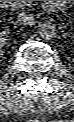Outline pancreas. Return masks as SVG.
<instances>
[{"instance_id": "pancreas-1", "label": "pancreas", "mask_w": 74, "mask_h": 122, "mask_svg": "<svg viewBox=\"0 0 74 122\" xmlns=\"http://www.w3.org/2000/svg\"><path fill=\"white\" fill-rule=\"evenodd\" d=\"M31 1H20L18 3V7H23V6H30Z\"/></svg>"}]
</instances>
